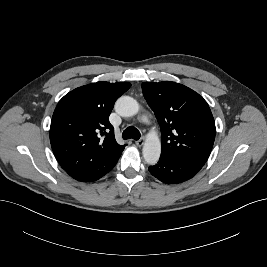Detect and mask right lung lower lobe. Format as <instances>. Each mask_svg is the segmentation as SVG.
Returning a JSON list of instances; mask_svg holds the SVG:
<instances>
[{"mask_svg":"<svg viewBox=\"0 0 267 267\" xmlns=\"http://www.w3.org/2000/svg\"><path fill=\"white\" fill-rule=\"evenodd\" d=\"M119 157L109 166L105 167L103 171L97 174H83V173L79 174L77 172H67V173L76 180L83 181V182H92V181L98 180L99 178L104 176L107 172L111 171L113 167L116 165Z\"/></svg>","mask_w":267,"mask_h":267,"instance_id":"1","label":"right lung lower lobe"}]
</instances>
